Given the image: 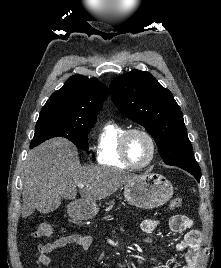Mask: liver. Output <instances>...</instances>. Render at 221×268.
I'll list each match as a JSON object with an SVG mask.
<instances>
[{
    "label": "liver",
    "mask_w": 221,
    "mask_h": 268,
    "mask_svg": "<svg viewBox=\"0 0 221 268\" xmlns=\"http://www.w3.org/2000/svg\"><path fill=\"white\" fill-rule=\"evenodd\" d=\"M134 176L118 169L80 165L78 151L64 138L50 139L28 153L21 174L23 207L21 215L26 218L35 210L45 213L61 198H76V186L80 188L81 200L104 199L115 193Z\"/></svg>",
    "instance_id": "liver-1"
}]
</instances>
